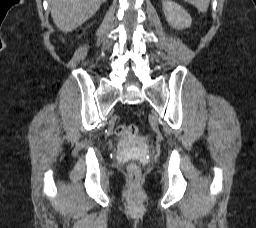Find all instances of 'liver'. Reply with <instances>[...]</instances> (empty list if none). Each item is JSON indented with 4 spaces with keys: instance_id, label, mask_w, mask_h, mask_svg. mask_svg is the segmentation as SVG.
I'll use <instances>...</instances> for the list:
<instances>
[{
    "instance_id": "obj_1",
    "label": "liver",
    "mask_w": 256,
    "mask_h": 228,
    "mask_svg": "<svg viewBox=\"0 0 256 228\" xmlns=\"http://www.w3.org/2000/svg\"><path fill=\"white\" fill-rule=\"evenodd\" d=\"M106 0H49L55 25L68 33L90 19Z\"/></svg>"
}]
</instances>
